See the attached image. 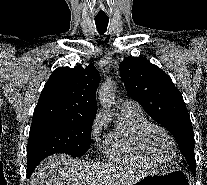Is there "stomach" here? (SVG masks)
I'll list each match as a JSON object with an SVG mask.
<instances>
[{
    "mask_svg": "<svg viewBox=\"0 0 207 185\" xmlns=\"http://www.w3.org/2000/svg\"><path fill=\"white\" fill-rule=\"evenodd\" d=\"M136 185H189L187 175L181 170L147 175L139 179Z\"/></svg>",
    "mask_w": 207,
    "mask_h": 185,
    "instance_id": "1",
    "label": "stomach"
}]
</instances>
